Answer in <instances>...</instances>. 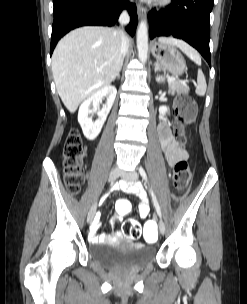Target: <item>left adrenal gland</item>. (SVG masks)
Instances as JSON below:
<instances>
[{"label":"left adrenal gland","instance_id":"a2214340","mask_svg":"<svg viewBox=\"0 0 247 304\" xmlns=\"http://www.w3.org/2000/svg\"><path fill=\"white\" fill-rule=\"evenodd\" d=\"M154 66H155V71H160L161 70L158 62H155Z\"/></svg>","mask_w":247,"mask_h":304}]
</instances>
